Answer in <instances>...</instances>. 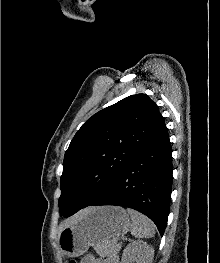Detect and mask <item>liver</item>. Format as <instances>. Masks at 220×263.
Instances as JSON below:
<instances>
[{"instance_id":"liver-1","label":"liver","mask_w":220,"mask_h":263,"mask_svg":"<svg viewBox=\"0 0 220 263\" xmlns=\"http://www.w3.org/2000/svg\"><path fill=\"white\" fill-rule=\"evenodd\" d=\"M89 209H90V208L85 209V210H82V211H80L79 213H77L76 215H74L73 217L65 220V221L60 225V227H59V228H60V232H61L64 228H66V227L70 226L71 224H73L76 220H78V219H79L85 212H87Z\"/></svg>"}]
</instances>
